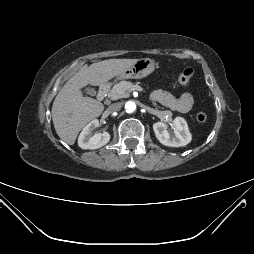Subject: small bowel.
Wrapping results in <instances>:
<instances>
[{"instance_id":"obj_1","label":"small bowel","mask_w":254,"mask_h":254,"mask_svg":"<svg viewBox=\"0 0 254 254\" xmlns=\"http://www.w3.org/2000/svg\"><path fill=\"white\" fill-rule=\"evenodd\" d=\"M151 98L154 101L181 113L188 112L192 108L194 102L193 96L190 93H184L181 96L176 97L164 90H155L152 93Z\"/></svg>"}]
</instances>
